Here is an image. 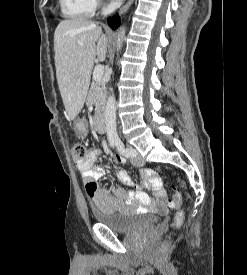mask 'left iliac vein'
<instances>
[{
    "label": "left iliac vein",
    "mask_w": 247,
    "mask_h": 275,
    "mask_svg": "<svg viewBox=\"0 0 247 275\" xmlns=\"http://www.w3.org/2000/svg\"><path fill=\"white\" fill-rule=\"evenodd\" d=\"M134 151V157L131 159V163L135 166H143L145 164L144 160L139 156L138 151L133 148L129 147Z\"/></svg>",
    "instance_id": "4c4485c4"
}]
</instances>
